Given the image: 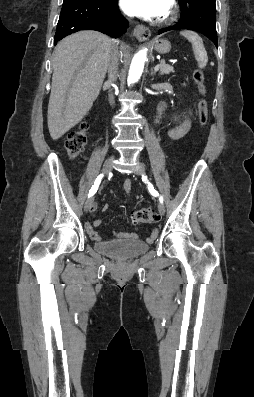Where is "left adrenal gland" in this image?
I'll return each instance as SVG.
<instances>
[{
  "label": "left adrenal gland",
  "instance_id": "obj_1",
  "mask_svg": "<svg viewBox=\"0 0 254 397\" xmlns=\"http://www.w3.org/2000/svg\"><path fill=\"white\" fill-rule=\"evenodd\" d=\"M151 76H154L155 75V72L151 69V74H150Z\"/></svg>",
  "mask_w": 254,
  "mask_h": 397
}]
</instances>
